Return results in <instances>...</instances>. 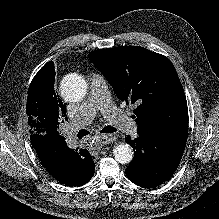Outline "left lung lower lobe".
<instances>
[{"instance_id":"obj_1","label":"left lung lower lobe","mask_w":219,"mask_h":219,"mask_svg":"<svg viewBox=\"0 0 219 219\" xmlns=\"http://www.w3.org/2000/svg\"><path fill=\"white\" fill-rule=\"evenodd\" d=\"M125 141L134 149V159L126 168V175L141 187H156L176 171L186 143H176L152 134H139Z\"/></svg>"}]
</instances>
